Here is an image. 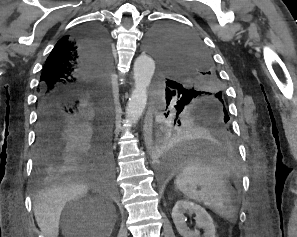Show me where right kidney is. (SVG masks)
Wrapping results in <instances>:
<instances>
[{
  "label": "right kidney",
  "instance_id": "1",
  "mask_svg": "<svg viewBox=\"0 0 297 237\" xmlns=\"http://www.w3.org/2000/svg\"><path fill=\"white\" fill-rule=\"evenodd\" d=\"M96 236H98V235H96V234H93V235H92V237H96Z\"/></svg>",
  "mask_w": 297,
  "mask_h": 237
}]
</instances>
